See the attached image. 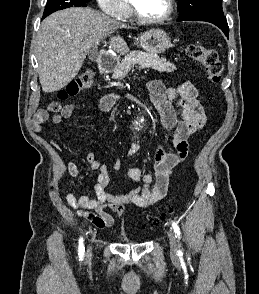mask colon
Segmentation results:
<instances>
[{"mask_svg": "<svg viewBox=\"0 0 259 294\" xmlns=\"http://www.w3.org/2000/svg\"><path fill=\"white\" fill-rule=\"evenodd\" d=\"M186 53L204 66L209 81L212 83H218L220 81L223 66L216 50L207 48L199 43H191L186 46ZM93 82V73L89 70L84 71L59 94V97L61 99H66L76 96L83 90L90 88ZM164 216L165 212H160L150 217L149 221L151 224L157 225Z\"/></svg>", "mask_w": 259, "mask_h": 294, "instance_id": "obj_1", "label": "colon"}]
</instances>
